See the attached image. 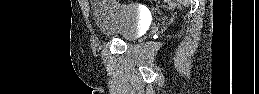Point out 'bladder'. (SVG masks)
<instances>
[{"mask_svg":"<svg viewBox=\"0 0 259 94\" xmlns=\"http://www.w3.org/2000/svg\"><path fill=\"white\" fill-rule=\"evenodd\" d=\"M94 19L98 32L104 37L132 41L142 33L141 12L132 4L97 2Z\"/></svg>","mask_w":259,"mask_h":94,"instance_id":"bladder-1","label":"bladder"}]
</instances>
